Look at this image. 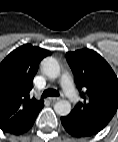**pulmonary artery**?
<instances>
[{"instance_id": "obj_1", "label": "pulmonary artery", "mask_w": 118, "mask_h": 142, "mask_svg": "<svg viewBox=\"0 0 118 142\" xmlns=\"http://www.w3.org/2000/svg\"><path fill=\"white\" fill-rule=\"evenodd\" d=\"M61 83H62L64 92L67 95V97L71 101L75 102L77 100V93L74 89L71 76L69 74H64L63 77H62Z\"/></svg>"}]
</instances>
